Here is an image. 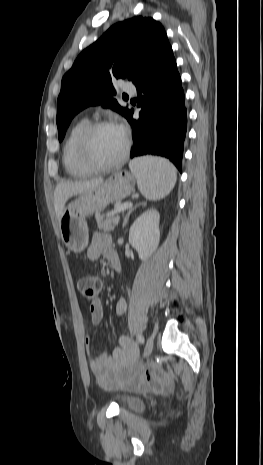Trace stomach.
I'll return each mask as SVG.
<instances>
[{
	"mask_svg": "<svg viewBox=\"0 0 263 465\" xmlns=\"http://www.w3.org/2000/svg\"><path fill=\"white\" fill-rule=\"evenodd\" d=\"M134 189V175L128 171H117L98 187L79 194L71 201L59 219L61 238L67 248L76 253L82 252L89 238L86 217L128 197Z\"/></svg>",
	"mask_w": 263,
	"mask_h": 465,
	"instance_id": "obj_1",
	"label": "stomach"
}]
</instances>
